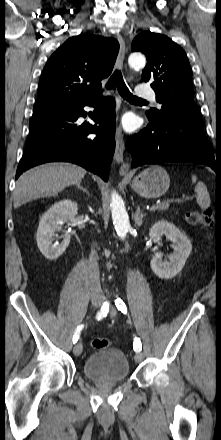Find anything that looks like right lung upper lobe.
I'll list each match as a JSON object with an SVG mask.
<instances>
[{"label": "right lung upper lobe", "mask_w": 221, "mask_h": 440, "mask_svg": "<svg viewBox=\"0 0 221 440\" xmlns=\"http://www.w3.org/2000/svg\"><path fill=\"white\" fill-rule=\"evenodd\" d=\"M118 51L113 38H69L43 69L34 110L101 97V80L111 74Z\"/></svg>", "instance_id": "cb5924a9"}]
</instances>
